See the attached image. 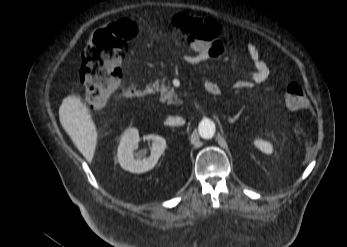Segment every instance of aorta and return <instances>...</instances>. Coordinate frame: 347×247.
<instances>
[{"label": "aorta", "mask_w": 347, "mask_h": 247, "mask_svg": "<svg viewBox=\"0 0 347 247\" xmlns=\"http://www.w3.org/2000/svg\"><path fill=\"white\" fill-rule=\"evenodd\" d=\"M199 133L201 137L210 139L215 134V124L210 119H204L199 124Z\"/></svg>", "instance_id": "aorta-1"}]
</instances>
